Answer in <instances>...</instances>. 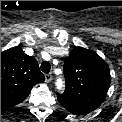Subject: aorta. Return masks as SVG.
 <instances>
[{"label":"aorta","instance_id":"aorta-1","mask_svg":"<svg viewBox=\"0 0 122 122\" xmlns=\"http://www.w3.org/2000/svg\"><path fill=\"white\" fill-rule=\"evenodd\" d=\"M64 86V82L62 81V79H58L56 82V88L61 90Z\"/></svg>","mask_w":122,"mask_h":122}]
</instances>
